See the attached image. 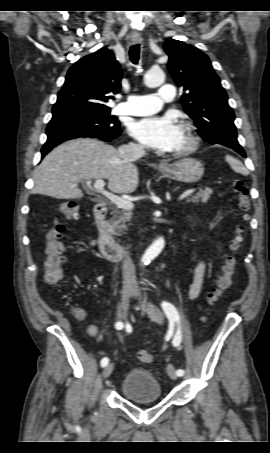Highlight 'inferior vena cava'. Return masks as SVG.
<instances>
[{"instance_id": "inferior-vena-cava-1", "label": "inferior vena cava", "mask_w": 270, "mask_h": 453, "mask_svg": "<svg viewBox=\"0 0 270 453\" xmlns=\"http://www.w3.org/2000/svg\"><path fill=\"white\" fill-rule=\"evenodd\" d=\"M120 158L127 162H133L143 157L146 152L142 145L130 143L128 145H122L118 148ZM123 275L129 278H133L135 274V267L129 254H126L122 264Z\"/></svg>"}]
</instances>
